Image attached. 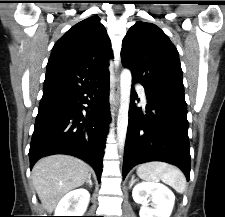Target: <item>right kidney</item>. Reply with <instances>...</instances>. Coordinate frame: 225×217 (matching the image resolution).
<instances>
[{
    "label": "right kidney",
    "mask_w": 225,
    "mask_h": 217,
    "mask_svg": "<svg viewBox=\"0 0 225 217\" xmlns=\"http://www.w3.org/2000/svg\"><path fill=\"white\" fill-rule=\"evenodd\" d=\"M89 200L90 194L84 188L70 191L57 205L55 216H83Z\"/></svg>",
    "instance_id": "ca27d5eb"
}]
</instances>
